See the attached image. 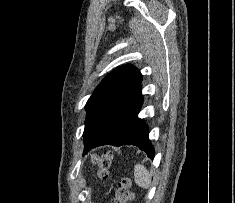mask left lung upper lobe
<instances>
[{
  "mask_svg": "<svg viewBox=\"0 0 235 203\" xmlns=\"http://www.w3.org/2000/svg\"><path fill=\"white\" fill-rule=\"evenodd\" d=\"M141 81L140 71L128 64L110 72L96 87L86 104L84 151L103 133Z\"/></svg>",
  "mask_w": 235,
  "mask_h": 203,
  "instance_id": "left-lung-upper-lobe-1",
  "label": "left lung upper lobe"
}]
</instances>
